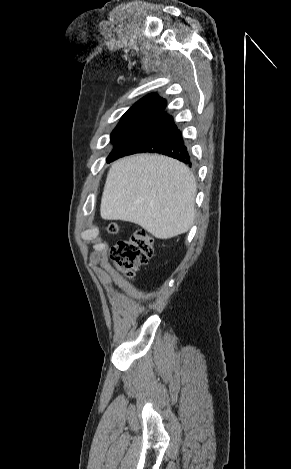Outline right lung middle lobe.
Wrapping results in <instances>:
<instances>
[{
  "instance_id": "obj_1",
  "label": "right lung middle lobe",
  "mask_w": 291,
  "mask_h": 469,
  "mask_svg": "<svg viewBox=\"0 0 291 469\" xmlns=\"http://www.w3.org/2000/svg\"><path fill=\"white\" fill-rule=\"evenodd\" d=\"M151 118L152 116L146 114L125 113L111 134V142L115 145L114 150Z\"/></svg>"
}]
</instances>
